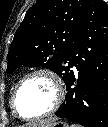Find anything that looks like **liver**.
I'll use <instances>...</instances> for the list:
<instances>
[{"instance_id":"6515ba94","label":"liver","mask_w":108,"mask_h":127,"mask_svg":"<svg viewBox=\"0 0 108 127\" xmlns=\"http://www.w3.org/2000/svg\"><path fill=\"white\" fill-rule=\"evenodd\" d=\"M57 118H48L45 120H40L33 122L32 124L25 125L23 127H38V126H49L51 123L55 122Z\"/></svg>"}]
</instances>
